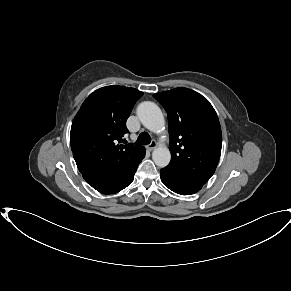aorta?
I'll list each match as a JSON object with an SVG mask.
<instances>
[{"instance_id":"762f6f07","label":"aorta","mask_w":291,"mask_h":291,"mask_svg":"<svg viewBox=\"0 0 291 291\" xmlns=\"http://www.w3.org/2000/svg\"><path fill=\"white\" fill-rule=\"evenodd\" d=\"M136 113L143 126L148 130L159 133L164 129V116L155 103L150 101L140 103ZM152 159L158 167H166L171 159L169 149L165 146L155 148L152 152Z\"/></svg>"}]
</instances>
